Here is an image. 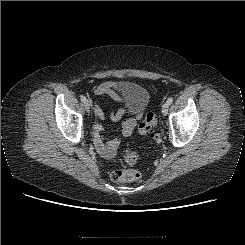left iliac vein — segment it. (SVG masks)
I'll list each match as a JSON object with an SVG mask.
<instances>
[{"mask_svg":"<svg viewBox=\"0 0 245 245\" xmlns=\"http://www.w3.org/2000/svg\"><path fill=\"white\" fill-rule=\"evenodd\" d=\"M168 109H169V104L165 102L162 106V114L167 115L168 114Z\"/></svg>","mask_w":245,"mask_h":245,"instance_id":"left-iliac-vein-1","label":"left iliac vein"}]
</instances>
